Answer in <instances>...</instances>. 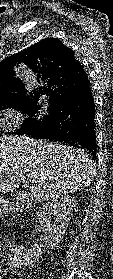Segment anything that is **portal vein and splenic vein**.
I'll use <instances>...</instances> for the list:
<instances>
[{
	"mask_svg": "<svg viewBox=\"0 0 113 279\" xmlns=\"http://www.w3.org/2000/svg\"><path fill=\"white\" fill-rule=\"evenodd\" d=\"M22 182L28 184L27 181L25 180V178L22 180Z\"/></svg>",
	"mask_w": 113,
	"mask_h": 279,
	"instance_id": "obj_1",
	"label": "portal vein and splenic vein"
}]
</instances>
